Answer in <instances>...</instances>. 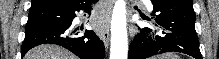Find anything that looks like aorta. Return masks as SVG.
Wrapping results in <instances>:
<instances>
[{
    "instance_id": "aorta-1",
    "label": "aorta",
    "mask_w": 219,
    "mask_h": 59,
    "mask_svg": "<svg viewBox=\"0 0 219 59\" xmlns=\"http://www.w3.org/2000/svg\"><path fill=\"white\" fill-rule=\"evenodd\" d=\"M127 57L126 2L125 0H116L111 19L110 59H127Z\"/></svg>"
}]
</instances>
